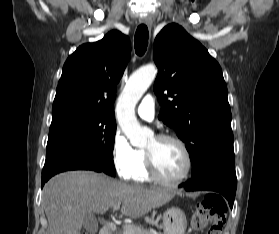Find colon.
Here are the masks:
<instances>
[{
	"label": "colon",
	"mask_w": 279,
	"mask_h": 234,
	"mask_svg": "<svg viewBox=\"0 0 279 234\" xmlns=\"http://www.w3.org/2000/svg\"><path fill=\"white\" fill-rule=\"evenodd\" d=\"M227 210V203L222 196H207L195 207L191 220L192 228L198 231L206 230V234H223Z\"/></svg>",
	"instance_id": "colon-1"
}]
</instances>
